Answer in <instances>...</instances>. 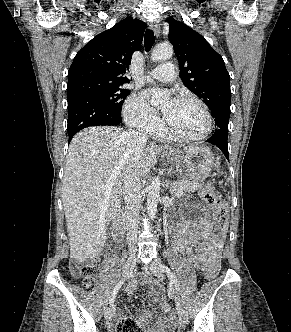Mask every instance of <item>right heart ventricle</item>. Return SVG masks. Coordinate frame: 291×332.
Segmentation results:
<instances>
[{
    "instance_id": "e07e8e85",
    "label": "right heart ventricle",
    "mask_w": 291,
    "mask_h": 332,
    "mask_svg": "<svg viewBox=\"0 0 291 332\" xmlns=\"http://www.w3.org/2000/svg\"><path fill=\"white\" fill-rule=\"evenodd\" d=\"M152 135L155 136L156 138H165L166 137V134L161 130H157V131L153 132Z\"/></svg>"
}]
</instances>
